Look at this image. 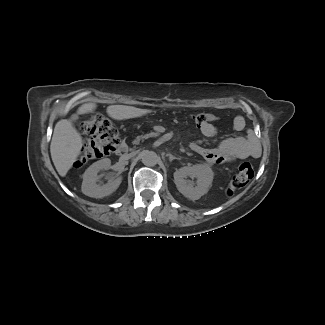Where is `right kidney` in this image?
<instances>
[{
	"label": "right kidney",
	"mask_w": 325,
	"mask_h": 325,
	"mask_svg": "<svg viewBox=\"0 0 325 325\" xmlns=\"http://www.w3.org/2000/svg\"><path fill=\"white\" fill-rule=\"evenodd\" d=\"M111 166V161L108 158L99 160L93 163L83 174V182H82V193L93 198H103L112 194L117 190L119 185L122 182V177L118 176L114 180L100 185L97 184L99 179L98 172L100 170H108Z\"/></svg>",
	"instance_id": "1"
}]
</instances>
